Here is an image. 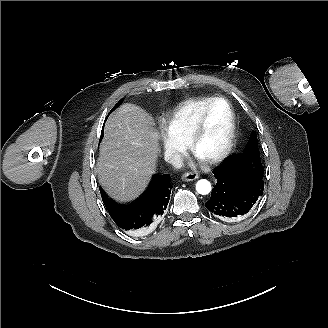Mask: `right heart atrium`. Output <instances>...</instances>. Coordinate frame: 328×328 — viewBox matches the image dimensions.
I'll list each match as a JSON object with an SVG mask.
<instances>
[{"label":"right heart atrium","mask_w":328,"mask_h":328,"mask_svg":"<svg viewBox=\"0 0 328 328\" xmlns=\"http://www.w3.org/2000/svg\"><path fill=\"white\" fill-rule=\"evenodd\" d=\"M149 134L155 143L156 151L162 154L167 162L176 164L182 159L185 147L170 141L159 125H153Z\"/></svg>","instance_id":"right-heart-atrium-1"}]
</instances>
